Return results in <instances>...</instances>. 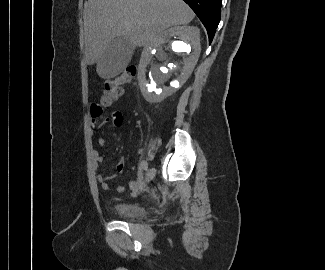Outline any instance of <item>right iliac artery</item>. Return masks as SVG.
<instances>
[{
  "instance_id": "1",
  "label": "right iliac artery",
  "mask_w": 325,
  "mask_h": 270,
  "mask_svg": "<svg viewBox=\"0 0 325 270\" xmlns=\"http://www.w3.org/2000/svg\"><path fill=\"white\" fill-rule=\"evenodd\" d=\"M140 166H141V168L143 169V170H147V168H148V163H147V161H142L141 162V164H140Z\"/></svg>"
}]
</instances>
